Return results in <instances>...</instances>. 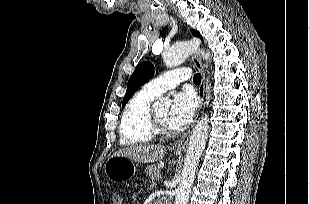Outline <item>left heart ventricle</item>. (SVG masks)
<instances>
[{
    "label": "left heart ventricle",
    "instance_id": "1",
    "mask_svg": "<svg viewBox=\"0 0 309 204\" xmlns=\"http://www.w3.org/2000/svg\"><path fill=\"white\" fill-rule=\"evenodd\" d=\"M155 113L157 115V118L159 119V121L167 126H168V114H169V108L168 107H161L155 110Z\"/></svg>",
    "mask_w": 309,
    "mask_h": 204
}]
</instances>
